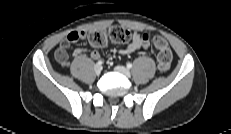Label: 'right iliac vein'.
Instances as JSON below:
<instances>
[{"mask_svg": "<svg viewBox=\"0 0 231 134\" xmlns=\"http://www.w3.org/2000/svg\"><path fill=\"white\" fill-rule=\"evenodd\" d=\"M101 70H102L101 66H99L97 64L94 66V72L96 75H100Z\"/></svg>", "mask_w": 231, "mask_h": 134, "instance_id": "1", "label": "right iliac vein"}]
</instances>
